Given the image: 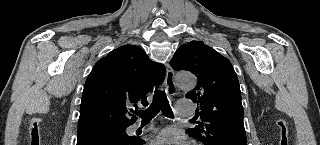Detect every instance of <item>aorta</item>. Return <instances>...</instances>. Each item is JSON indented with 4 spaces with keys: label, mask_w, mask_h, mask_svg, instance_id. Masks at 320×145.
I'll list each match as a JSON object with an SVG mask.
<instances>
[{
    "label": "aorta",
    "mask_w": 320,
    "mask_h": 145,
    "mask_svg": "<svg viewBox=\"0 0 320 145\" xmlns=\"http://www.w3.org/2000/svg\"><path fill=\"white\" fill-rule=\"evenodd\" d=\"M178 85L183 89H192L196 85L195 77L190 73H178L177 74Z\"/></svg>",
    "instance_id": "aorta-1"
}]
</instances>
